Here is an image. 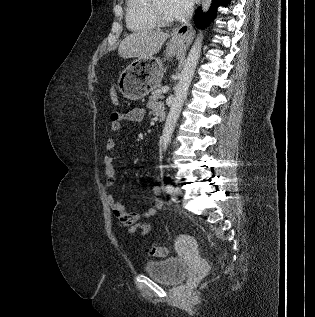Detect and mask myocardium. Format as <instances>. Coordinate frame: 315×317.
Here are the masks:
<instances>
[{
  "label": "myocardium",
  "instance_id": "obj_1",
  "mask_svg": "<svg viewBox=\"0 0 315 317\" xmlns=\"http://www.w3.org/2000/svg\"><path fill=\"white\" fill-rule=\"evenodd\" d=\"M149 11H150L152 20L157 26L167 27V26H171L174 23L173 19H166L160 14V12L158 11L156 7L155 0H150Z\"/></svg>",
  "mask_w": 315,
  "mask_h": 317
}]
</instances>
